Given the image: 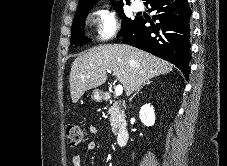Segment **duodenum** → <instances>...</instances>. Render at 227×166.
Returning <instances> with one entry per match:
<instances>
[{
	"mask_svg": "<svg viewBox=\"0 0 227 166\" xmlns=\"http://www.w3.org/2000/svg\"><path fill=\"white\" fill-rule=\"evenodd\" d=\"M129 139V132L127 129H120L117 133V143L120 147H123Z\"/></svg>",
	"mask_w": 227,
	"mask_h": 166,
	"instance_id": "obj_1",
	"label": "duodenum"
}]
</instances>
